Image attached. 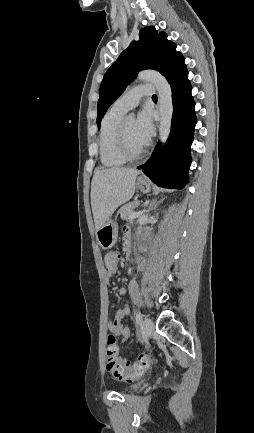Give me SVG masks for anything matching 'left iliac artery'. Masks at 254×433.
Instances as JSON below:
<instances>
[{
  "instance_id": "obj_1",
  "label": "left iliac artery",
  "mask_w": 254,
  "mask_h": 433,
  "mask_svg": "<svg viewBox=\"0 0 254 433\" xmlns=\"http://www.w3.org/2000/svg\"><path fill=\"white\" fill-rule=\"evenodd\" d=\"M135 320H136L137 327L140 326L141 322H142V315H141L140 311H136Z\"/></svg>"
}]
</instances>
